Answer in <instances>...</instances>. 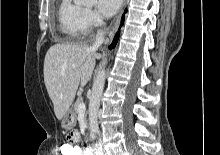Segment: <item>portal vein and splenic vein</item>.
<instances>
[{
	"instance_id": "18ae733b",
	"label": "portal vein and splenic vein",
	"mask_w": 220,
	"mask_h": 155,
	"mask_svg": "<svg viewBox=\"0 0 220 155\" xmlns=\"http://www.w3.org/2000/svg\"><path fill=\"white\" fill-rule=\"evenodd\" d=\"M85 109H86L85 104H84L83 102L80 103L79 106H78V110H79V111H85Z\"/></svg>"
}]
</instances>
